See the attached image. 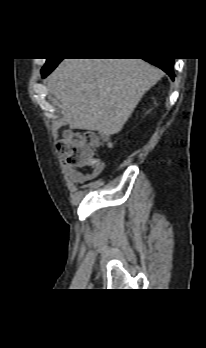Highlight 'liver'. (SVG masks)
Listing matches in <instances>:
<instances>
[{"mask_svg":"<svg viewBox=\"0 0 206 348\" xmlns=\"http://www.w3.org/2000/svg\"><path fill=\"white\" fill-rule=\"evenodd\" d=\"M163 72L143 59H64L48 85L71 128L119 133Z\"/></svg>","mask_w":206,"mask_h":348,"instance_id":"6515ba94","label":"liver"}]
</instances>
